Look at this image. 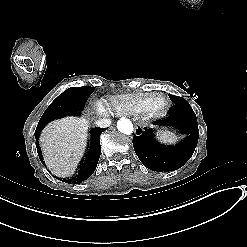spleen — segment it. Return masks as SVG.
<instances>
[{
	"instance_id": "obj_1",
	"label": "spleen",
	"mask_w": 247,
	"mask_h": 247,
	"mask_svg": "<svg viewBox=\"0 0 247 247\" xmlns=\"http://www.w3.org/2000/svg\"><path fill=\"white\" fill-rule=\"evenodd\" d=\"M170 135H171V134H169V133H165V134H164V137H165V138H168V136H170Z\"/></svg>"
}]
</instances>
